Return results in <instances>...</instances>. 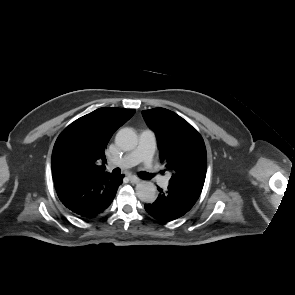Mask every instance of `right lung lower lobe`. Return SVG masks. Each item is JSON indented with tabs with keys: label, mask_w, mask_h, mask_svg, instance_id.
Returning <instances> with one entry per match:
<instances>
[{
	"label": "right lung lower lobe",
	"mask_w": 295,
	"mask_h": 295,
	"mask_svg": "<svg viewBox=\"0 0 295 295\" xmlns=\"http://www.w3.org/2000/svg\"><path fill=\"white\" fill-rule=\"evenodd\" d=\"M124 175L105 173L90 180L55 184L60 201L82 219L100 216L112 203Z\"/></svg>",
	"instance_id": "right-lung-lower-lobe-1"
}]
</instances>
